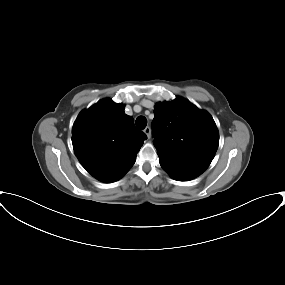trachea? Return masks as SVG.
I'll use <instances>...</instances> for the list:
<instances>
[{"label":"trachea","mask_w":285,"mask_h":285,"mask_svg":"<svg viewBox=\"0 0 285 285\" xmlns=\"http://www.w3.org/2000/svg\"><path fill=\"white\" fill-rule=\"evenodd\" d=\"M147 125V119L144 116H139L136 119V126L139 129H144Z\"/></svg>","instance_id":"trachea-1"}]
</instances>
